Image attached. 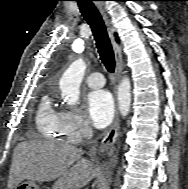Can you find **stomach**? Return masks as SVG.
Listing matches in <instances>:
<instances>
[{
	"label": "stomach",
	"mask_w": 188,
	"mask_h": 189,
	"mask_svg": "<svg viewBox=\"0 0 188 189\" xmlns=\"http://www.w3.org/2000/svg\"><path fill=\"white\" fill-rule=\"evenodd\" d=\"M15 189H40L35 181H25L15 187Z\"/></svg>",
	"instance_id": "0dacf381"
}]
</instances>
